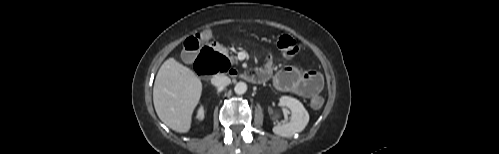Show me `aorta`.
Returning a JSON list of instances; mask_svg holds the SVG:
<instances>
[{"label":"aorta","mask_w":499,"mask_h":154,"mask_svg":"<svg viewBox=\"0 0 499 154\" xmlns=\"http://www.w3.org/2000/svg\"><path fill=\"white\" fill-rule=\"evenodd\" d=\"M234 91L239 95L244 94L247 91V84L245 82H238L234 87Z\"/></svg>","instance_id":"aorta-1"}]
</instances>
